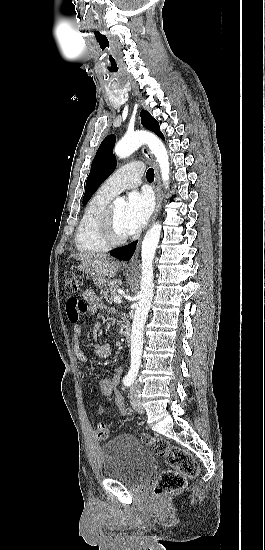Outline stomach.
Instances as JSON below:
<instances>
[{
	"instance_id": "obj_1",
	"label": "stomach",
	"mask_w": 265,
	"mask_h": 550,
	"mask_svg": "<svg viewBox=\"0 0 265 550\" xmlns=\"http://www.w3.org/2000/svg\"><path fill=\"white\" fill-rule=\"evenodd\" d=\"M76 268L77 270L79 271H82V272H85L89 275H91L92 277H94L95 281H96V284L99 286V287H105L107 286V284L109 283L107 279H103L101 277H99L90 267H88L87 265L83 264L82 262L81 263H78L76 265Z\"/></svg>"
}]
</instances>
